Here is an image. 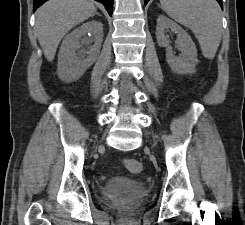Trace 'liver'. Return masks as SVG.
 Wrapping results in <instances>:
<instances>
[{
    "label": "liver",
    "instance_id": "liver-1",
    "mask_svg": "<svg viewBox=\"0 0 245 225\" xmlns=\"http://www.w3.org/2000/svg\"><path fill=\"white\" fill-rule=\"evenodd\" d=\"M95 13L91 0H49L39 7L35 27L46 59L51 62L62 38Z\"/></svg>",
    "mask_w": 245,
    "mask_h": 225
}]
</instances>
